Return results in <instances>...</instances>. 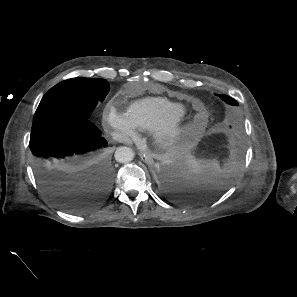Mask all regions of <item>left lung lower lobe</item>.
<instances>
[{
	"label": "left lung lower lobe",
	"instance_id": "left-lung-lower-lobe-1",
	"mask_svg": "<svg viewBox=\"0 0 297 297\" xmlns=\"http://www.w3.org/2000/svg\"><path fill=\"white\" fill-rule=\"evenodd\" d=\"M160 177L164 189L173 199L183 202L207 201L217 198L227 188V184L205 178L194 179L184 168L182 162L163 166Z\"/></svg>",
	"mask_w": 297,
	"mask_h": 297
}]
</instances>
